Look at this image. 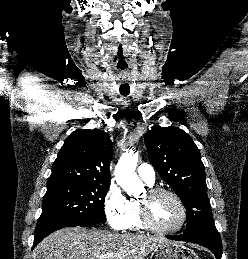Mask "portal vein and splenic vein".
<instances>
[{
  "label": "portal vein and splenic vein",
  "mask_w": 248,
  "mask_h": 259,
  "mask_svg": "<svg viewBox=\"0 0 248 259\" xmlns=\"http://www.w3.org/2000/svg\"><path fill=\"white\" fill-rule=\"evenodd\" d=\"M106 257H107V255H102V256H100L99 259H106Z\"/></svg>",
  "instance_id": "portal-vein-and-splenic-vein-1"
}]
</instances>
